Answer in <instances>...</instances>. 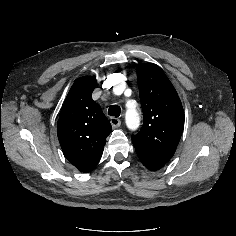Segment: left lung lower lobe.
Returning a JSON list of instances; mask_svg holds the SVG:
<instances>
[{
    "label": "left lung lower lobe",
    "instance_id": "0a47b994",
    "mask_svg": "<svg viewBox=\"0 0 236 236\" xmlns=\"http://www.w3.org/2000/svg\"><path fill=\"white\" fill-rule=\"evenodd\" d=\"M137 155L142 164L151 171L159 170L166 164V162L162 160H158L140 153H137Z\"/></svg>",
    "mask_w": 236,
    "mask_h": 236
}]
</instances>
